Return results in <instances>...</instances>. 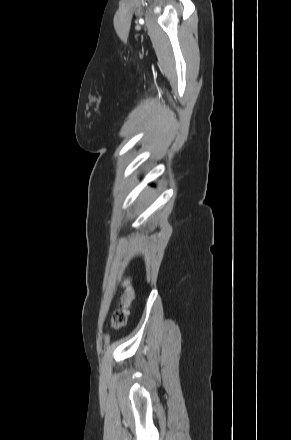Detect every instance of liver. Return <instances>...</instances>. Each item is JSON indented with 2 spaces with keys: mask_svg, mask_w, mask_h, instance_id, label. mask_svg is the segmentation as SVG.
<instances>
[{
  "mask_svg": "<svg viewBox=\"0 0 291 440\" xmlns=\"http://www.w3.org/2000/svg\"><path fill=\"white\" fill-rule=\"evenodd\" d=\"M130 284V280L127 279L123 282V286L127 287Z\"/></svg>",
  "mask_w": 291,
  "mask_h": 440,
  "instance_id": "6515ba94",
  "label": "liver"
}]
</instances>
